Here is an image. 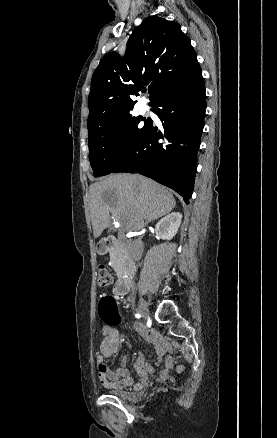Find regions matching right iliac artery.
I'll return each instance as SVG.
<instances>
[{
	"instance_id": "right-iliac-artery-1",
	"label": "right iliac artery",
	"mask_w": 277,
	"mask_h": 438,
	"mask_svg": "<svg viewBox=\"0 0 277 438\" xmlns=\"http://www.w3.org/2000/svg\"><path fill=\"white\" fill-rule=\"evenodd\" d=\"M135 316H136L137 318H140V317H141V314H140V313H137Z\"/></svg>"
}]
</instances>
